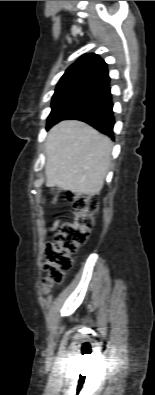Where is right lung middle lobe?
<instances>
[{"label": "right lung middle lobe", "mask_w": 155, "mask_h": 395, "mask_svg": "<svg viewBox=\"0 0 155 395\" xmlns=\"http://www.w3.org/2000/svg\"><path fill=\"white\" fill-rule=\"evenodd\" d=\"M104 89L92 85L72 83L57 86L52 97L47 129L93 102Z\"/></svg>", "instance_id": "obj_1"}]
</instances>
